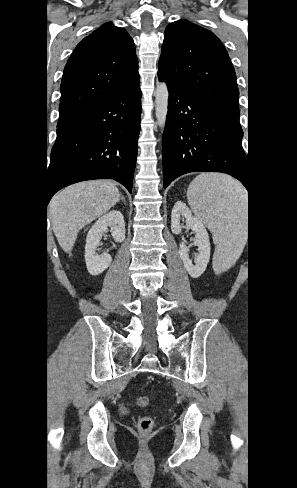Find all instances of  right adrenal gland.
Segmentation results:
<instances>
[{"label":"right adrenal gland","instance_id":"1","mask_svg":"<svg viewBox=\"0 0 297 488\" xmlns=\"http://www.w3.org/2000/svg\"><path fill=\"white\" fill-rule=\"evenodd\" d=\"M122 200L124 202V204H126V201H125V198L123 196H120V199L119 201Z\"/></svg>","mask_w":297,"mask_h":488}]
</instances>
